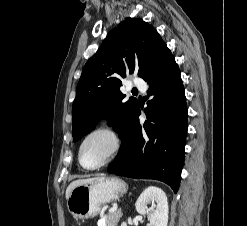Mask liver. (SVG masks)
<instances>
[{
	"label": "liver",
	"mask_w": 247,
	"mask_h": 226,
	"mask_svg": "<svg viewBox=\"0 0 247 226\" xmlns=\"http://www.w3.org/2000/svg\"><path fill=\"white\" fill-rule=\"evenodd\" d=\"M91 179H79V180H76V181H73L72 183H70V185L67 187V190H66V199H68L71 191L78 185L80 184H83V183H86L88 181H90Z\"/></svg>",
	"instance_id": "obj_1"
}]
</instances>
